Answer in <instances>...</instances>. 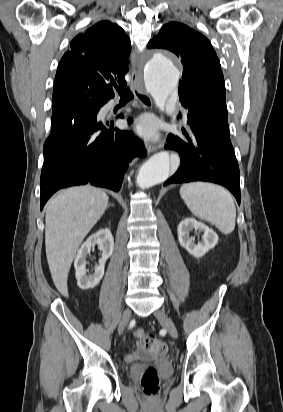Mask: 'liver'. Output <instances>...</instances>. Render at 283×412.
<instances>
[{
	"instance_id": "liver-1",
	"label": "liver",
	"mask_w": 283,
	"mask_h": 412,
	"mask_svg": "<svg viewBox=\"0 0 283 412\" xmlns=\"http://www.w3.org/2000/svg\"><path fill=\"white\" fill-rule=\"evenodd\" d=\"M108 201L103 190L87 185L62 190L46 205V257L53 282L63 296H68L67 279L76 252Z\"/></svg>"
}]
</instances>
